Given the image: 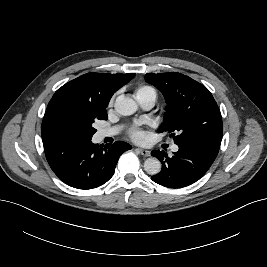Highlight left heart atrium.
Returning <instances> with one entry per match:
<instances>
[{
	"instance_id": "left-heart-atrium-1",
	"label": "left heart atrium",
	"mask_w": 267,
	"mask_h": 267,
	"mask_svg": "<svg viewBox=\"0 0 267 267\" xmlns=\"http://www.w3.org/2000/svg\"><path fill=\"white\" fill-rule=\"evenodd\" d=\"M128 134L136 142H143L147 138V132L138 124L130 127Z\"/></svg>"
}]
</instances>
